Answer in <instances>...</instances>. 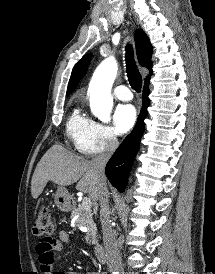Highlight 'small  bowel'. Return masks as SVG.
<instances>
[{
    "mask_svg": "<svg viewBox=\"0 0 215 274\" xmlns=\"http://www.w3.org/2000/svg\"><path fill=\"white\" fill-rule=\"evenodd\" d=\"M69 234L60 230L57 238L39 240L35 247L36 255L40 264V270L44 274H79L74 272H52V265L61 257L63 244L69 243ZM85 274H98L97 272H86Z\"/></svg>",
    "mask_w": 215,
    "mask_h": 274,
    "instance_id": "1",
    "label": "small bowel"
}]
</instances>
